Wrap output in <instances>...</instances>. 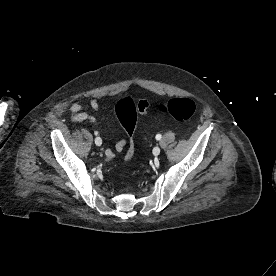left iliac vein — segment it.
I'll list each match as a JSON object with an SVG mask.
<instances>
[{
    "mask_svg": "<svg viewBox=\"0 0 276 276\" xmlns=\"http://www.w3.org/2000/svg\"><path fill=\"white\" fill-rule=\"evenodd\" d=\"M153 154H154V156H158L160 154V148L159 147H154Z\"/></svg>",
    "mask_w": 276,
    "mask_h": 276,
    "instance_id": "obj_1",
    "label": "left iliac vein"
}]
</instances>
